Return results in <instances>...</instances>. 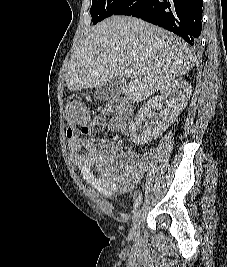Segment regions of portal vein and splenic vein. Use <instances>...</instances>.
<instances>
[{
	"label": "portal vein and splenic vein",
	"instance_id": "1",
	"mask_svg": "<svg viewBox=\"0 0 227 267\" xmlns=\"http://www.w3.org/2000/svg\"><path fill=\"white\" fill-rule=\"evenodd\" d=\"M124 74L127 76V77H133L135 75L134 71L132 69H125L124 70Z\"/></svg>",
	"mask_w": 227,
	"mask_h": 267
}]
</instances>
